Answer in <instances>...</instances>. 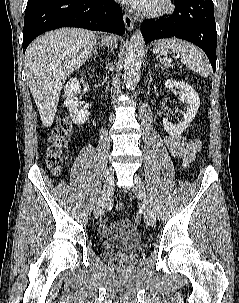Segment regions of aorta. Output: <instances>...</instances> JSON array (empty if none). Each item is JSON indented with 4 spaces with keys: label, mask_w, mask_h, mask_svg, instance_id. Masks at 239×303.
<instances>
[{
    "label": "aorta",
    "mask_w": 239,
    "mask_h": 303,
    "mask_svg": "<svg viewBox=\"0 0 239 303\" xmlns=\"http://www.w3.org/2000/svg\"><path fill=\"white\" fill-rule=\"evenodd\" d=\"M144 47L142 33L136 30L130 39L124 58V81L129 90H134L140 79Z\"/></svg>",
    "instance_id": "obj_1"
}]
</instances>
